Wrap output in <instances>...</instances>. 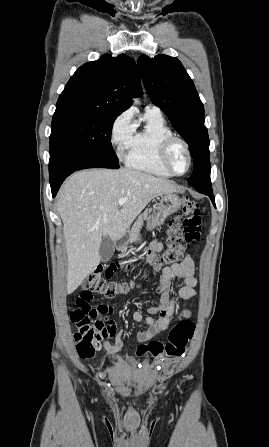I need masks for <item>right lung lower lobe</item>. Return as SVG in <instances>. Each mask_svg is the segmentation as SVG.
<instances>
[{"label": "right lung lower lobe", "mask_w": 269, "mask_h": 447, "mask_svg": "<svg viewBox=\"0 0 269 447\" xmlns=\"http://www.w3.org/2000/svg\"><path fill=\"white\" fill-rule=\"evenodd\" d=\"M85 168H119V165L91 153L61 145H50L49 175L52 197L56 196L61 184L70 174Z\"/></svg>", "instance_id": "obj_1"}]
</instances>
